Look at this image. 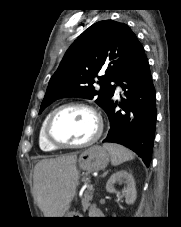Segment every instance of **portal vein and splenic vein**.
<instances>
[{"mask_svg":"<svg viewBox=\"0 0 181 227\" xmlns=\"http://www.w3.org/2000/svg\"><path fill=\"white\" fill-rule=\"evenodd\" d=\"M89 189L92 190V189H93V185H90V186H89Z\"/></svg>","mask_w":181,"mask_h":227,"instance_id":"obj_1","label":"portal vein and splenic vein"}]
</instances>
